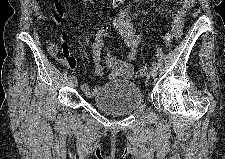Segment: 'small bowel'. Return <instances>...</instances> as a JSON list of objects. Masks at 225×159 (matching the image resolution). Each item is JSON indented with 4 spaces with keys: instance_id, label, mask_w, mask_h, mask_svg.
Instances as JSON below:
<instances>
[{
    "instance_id": "c3829d8e",
    "label": "small bowel",
    "mask_w": 225,
    "mask_h": 159,
    "mask_svg": "<svg viewBox=\"0 0 225 159\" xmlns=\"http://www.w3.org/2000/svg\"><path fill=\"white\" fill-rule=\"evenodd\" d=\"M191 0H185L181 6L175 11L172 31L175 37H179L182 33L184 18L188 10L192 7ZM166 4L159 9L161 13L166 11ZM31 9L35 14L38 23L44 22V13L41 10L40 3L36 0L31 1ZM128 7H124L114 21V29L122 38L124 45L127 48L125 53L126 60L114 57L107 49L104 43L106 37L110 34L109 27H102L95 36V41L92 44V55L94 62V73L96 76L103 74L102 60L104 57L106 68L108 69V77L111 80L115 79H132L135 76V67L133 62L138 58V47L140 44V34L136 32L131 24L128 13ZM62 52L63 58L58 57L59 49L55 43H47V51L59 61H64L71 69H77L78 64L76 59L71 55L65 37L62 36ZM98 88L91 89L88 85H82V91L85 95L92 97Z\"/></svg>"
}]
</instances>
